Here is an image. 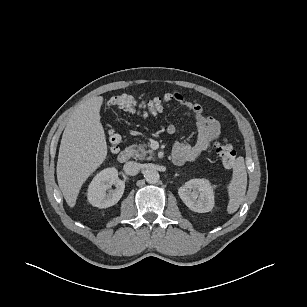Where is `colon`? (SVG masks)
Wrapping results in <instances>:
<instances>
[{"instance_id":"5ec220e1","label":"colon","mask_w":307,"mask_h":307,"mask_svg":"<svg viewBox=\"0 0 307 307\" xmlns=\"http://www.w3.org/2000/svg\"><path fill=\"white\" fill-rule=\"evenodd\" d=\"M171 99L170 94H167L164 97L154 98L148 101H137L132 95L121 93L111 97L106 105L108 107H117L129 113L157 114L162 111L164 105ZM108 139L111 151L117 152L121 142V136L114 129H111L108 131ZM216 151L225 168H231L234 165L236 152L226 139L216 144Z\"/></svg>"}]
</instances>
